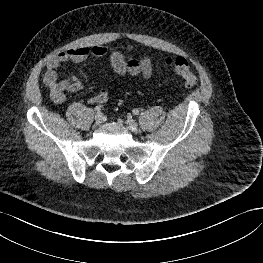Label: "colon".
Here are the masks:
<instances>
[{
  "label": "colon",
  "instance_id": "5ec220e1",
  "mask_svg": "<svg viewBox=\"0 0 263 263\" xmlns=\"http://www.w3.org/2000/svg\"><path fill=\"white\" fill-rule=\"evenodd\" d=\"M166 65L172 68L175 73L183 80L185 86L193 87L197 83V77L191 70L188 61L183 57L168 58Z\"/></svg>",
  "mask_w": 263,
  "mask_h": 263
}]
</instances>
